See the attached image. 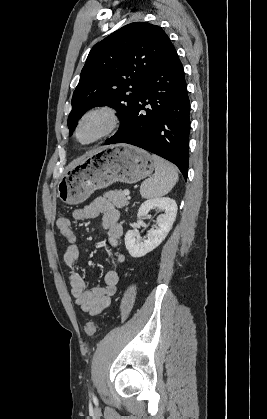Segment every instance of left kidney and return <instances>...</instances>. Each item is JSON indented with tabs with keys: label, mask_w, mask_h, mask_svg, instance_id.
<instances>
[{
	"label": "left kidney",
	"mask_w": 267,
	"mask_h": 419,
	"mask_svg": "<svg viewBox=\"0 0 267 419\" xmlns=\"http://www.w3.org/2000/svg\"><path fill=\"white\" fill-rule=\"evenodd\" d=\"M164 211V214L156 218L157 227L148 231L146 240H141L140 236L133 230L127 231L125 235V246L129 254L134 257H142L158 247L172 229L177 215V204L175 200L163 197L154 198L143 202L138 210L137 218L148 215L152 209Z\"/></svg>",
	"instance_id": "obj_1"
}]
</instances>
